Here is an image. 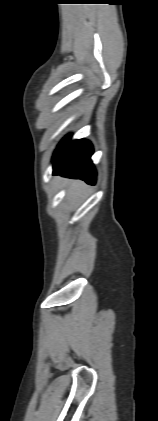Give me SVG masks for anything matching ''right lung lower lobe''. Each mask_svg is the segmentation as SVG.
Returning <instances> with one entry per match:
<instances>
[{
	"label": "right lung lower lobe",
	"instance_id": "98d812e1",
	"mask_svg": "<svg viewBox=\"0 0 158 421\" xmlns=\"http://www.w3.org/2000/svg\"><path fill=\"white\" fill-rule=\"evenodd\" d=\"M71 136L65 137L59 144L53 157V174L85 180L94 184L96 172L90 157L93 153L89 141H70Z\"/></svg>",
	"mask_w": 158,
	"mask_h": 421
}]
</instances>
